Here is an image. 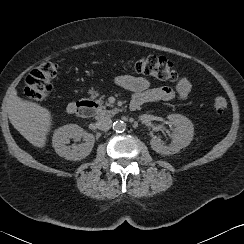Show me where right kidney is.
<instances>
[{
	"label": "right kidney",
	"mask_w": 244,
	"mask_h": 244,
	"mask_svg": "<svg viewBox=\"0 0 244 244\" xmlns=\"http://www.w3.org/2000/svg\"><path fill=\"white\" fill-rule=\"evenodd\" d=\"M70 139L78 141L83 139L84 143L73 145L71 148L67 146ZM95 143L93 134L85 132L76 124H68L58 128L52 137V145L56 153L67 160H81L86 158Z\"/></svg>",
	"instance_id": "1"
}]
</instances>
